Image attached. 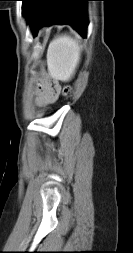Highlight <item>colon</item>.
<instances>
[{"label":"colon","instance_id":"1","mask_svg":"<svg viewBox=\"0 0 133 253\" xmlns=\"http://www.w3.org/2000/svg\"><path fill=\"white\" fill-rule=\"evenodd\" d=\"M68 91H69V89H68V88H66V89L64 90V92H65V93H68Z\"/></svg>","mask_w":133,"mask_h":253}]
</instances>
